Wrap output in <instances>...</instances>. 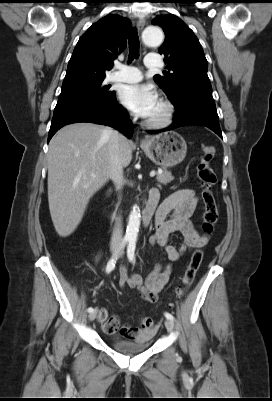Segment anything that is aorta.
<instances>
[{
	"label": "aorta",
	"instance_id": "1",
	"mask_svg": "<svg viewBox=\"0 0 272 401\" xmlns=\"http://www.w3.org/2000/svg\"><path fill=\"white\" fill-rule=\"evenodd\" d=\"M163 32L159 27L149 26L142 33L143 42L148 46H158L163 42ZM140 211L134 206L129 215L126 229V239L128 241H136L140 227Z\"/></svg>",
	"mask_w": 272,
	"mask_h": 401
}]
</instances>
